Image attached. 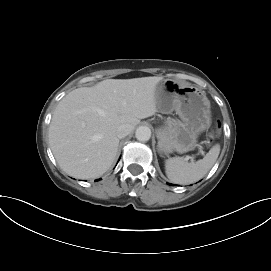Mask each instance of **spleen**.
Wrapping results in <instances>:
<instances>
[{"label":"spleen","instance_id":"3e777b00","mask_svg":"<svg viewBox=\"0 0 271 271\" xmlns=\"http://www.w3.org/2000/svg\"><path fill=\"white\" fill-rule=\"evenodd\" d=\"M220 153V145H214L203 159L188 163L183 157H173L165 161L168 179L176 184H191L202 179L215 164Z\"/></svg>","mask_w":271,"mask_h":271}]
</instances>
